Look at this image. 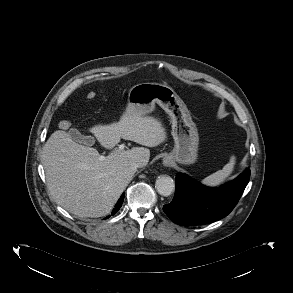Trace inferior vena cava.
Here are the masks:
<instances>
[{"label":"inferior vena cava","instance_id":"1","mask_svg":"<svg viewBox=\"0 0 293 293\" xmlns=\"http://www.w3.org/2000/svg\"><path fill=\"white\" fill-rule=\"evenodd\" d=\"M143 166H145V163L143 161L132 162L130 164V168L133 169V170H136L137 168H141Z\"/></svg>","mask_w":293,"mask_h":293}]
</instances>
